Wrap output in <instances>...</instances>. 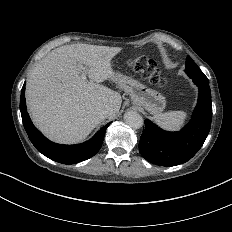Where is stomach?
Instances as JSON below:
<instances>
[{"mask_svg":"<svg viewBox=\"0 0 232 232\" xmlns=\"http://www.w3.org/2000/svg\"><path fill=\"white\" fill-rule=\"evenodd\" d=\"M121 88L131 97L134 106L144 108L152 114H159L165 107V97L158 91L147 88L137 81L124 77H116Z\"/></svg>","mask_w":232,"mask_h":232,"instance_id":"1","label":"stomach"}]
</instances>
